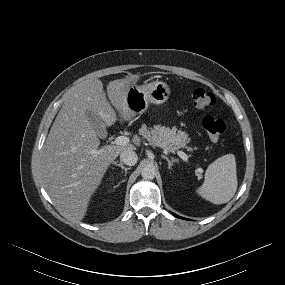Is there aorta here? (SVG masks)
<instances>
[{"label": "aorta", "instance_id": "aorta-1", "mask_svg": "<svg viewBox=\"0 0 285 285\" xmlns=\"http://www.w3.org/2000/svg\"><path fill=\"white\" fill-rule=\"evenodd\" d=\"M141 175L143 179L151 180L156 175V169L152 165H146L142 168Z\"/></svg>", "mask_w": 285, "mask_h": 285}]
</instances>
